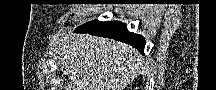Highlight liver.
Instances as JSON below:
<instances>
[{
  "label": "liver",
  "instance_id": "6515ba94",
  "mask_svg": "<svg viewBox=\"0 0 216 90\" xmlns=\"http://www.w3.org/2000/svg\"><path fill=\"white\" fill-rule=\"evenodd\" d=\"M65 40L61 58L69 90H124L141 68L142 56L128 44L89 34Z\"/></svg>",
  "mask_w": 216,
  "mask_h": 90
}]
</instances>
